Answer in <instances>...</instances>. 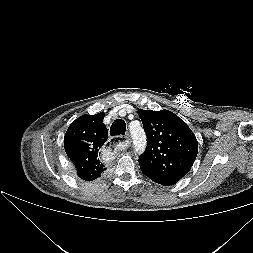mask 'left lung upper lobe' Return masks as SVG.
Masks as SVG:
<instances>
[{"mask_svg":"<svg viewBox=\"0 0 253 253\" xmlns=\"http://www.w3.org/2000/svg\"><path fill=\"white\" fill-rule=\"evenodd\" d=\"M147 135V148L139 158L142 172L156 183H177L192 167L198 142L191 129L168 110H138Z\"/></svg>","mask_w":253,"mask_h":253,"instance_id":"5c2ea615","label":"left lung upper lobe"}]
</instances>
